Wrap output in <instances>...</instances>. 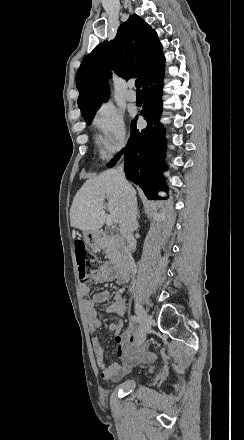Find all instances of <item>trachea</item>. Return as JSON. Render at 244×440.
I'll list each match as a JSON object with an SVG mask.
<instances>
[{
  "label": "trachea",
  "mask_w": 244,
  "mask_h": 440,
  "mask_svg": "<svg viewBox=\"0 0 244 440\" xmlns=\"http://www.w3.org/2000/svg\"><path fill=\"white\" fill-rule=\"evenodd\" d=\"M141 86H142L141 80H140V78H137V80H135V87L137 89V92L138 91L141 92V90H140Z\"/></svg>",
  "instance_id": "3493384b"
}]
</instances>
